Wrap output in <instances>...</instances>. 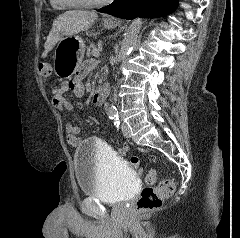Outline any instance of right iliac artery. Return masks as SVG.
<instances>
[{"instance_id":"1","label":"right iliac artery","mask_w":240,"mask_h":238,"mask_svg":"<svg viewBox=\"0 0 240 238\" xmlns=\"http://www.w3.org/2000/svg\"><path fill=\"white\" fill-rule=\"evenodd\" d=\"M111 119H114V125H115L117 128H119V126H120V120H119V118L117 117V118H111Z\"/></svg>"}]
</instances>
